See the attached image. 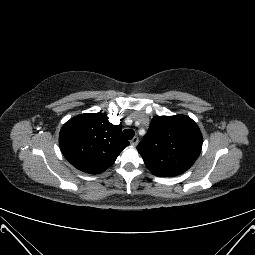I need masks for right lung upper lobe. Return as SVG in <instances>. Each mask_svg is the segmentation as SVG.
<instances>
[{"instance_id":"1","label":"right lung upper lobe","mask_w":255,"mask_h":255,"mask_svg":"<svg viewBox=\"0 0 255 255\" xmlns=\"http://www.w3.org/2000/svg\"><path fill=\"white\" fill-rule=\"evenodd\" d=\"M130 143L121 137V126L103 113H85L67 121L59 135L60 149L77 169L99 174L109 168Z\"/></svg>"}]
</instances>
